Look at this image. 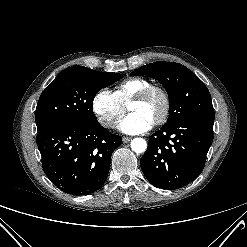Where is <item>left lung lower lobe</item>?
I'll return each mask as SVG.
<instances>
[{
  "label": "left lung lower lobe",
  "instance_id": "obj_1",
  "mask_svg": "<svg viewBox=\"0 0 247 247\" xmlns=\"http://www.w3.org/2000/svg\"><path fill=\"white\" fill-rule=\"evenodd\" d=\"M212 141L211 122L187 118L164 125L150 136L141 169L156 188H181L202 173Z\"/></svg>",
  "mask_w": 247,
  "mask_h": 247
}]
</instances>
